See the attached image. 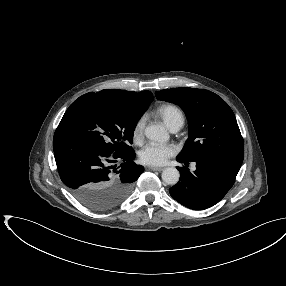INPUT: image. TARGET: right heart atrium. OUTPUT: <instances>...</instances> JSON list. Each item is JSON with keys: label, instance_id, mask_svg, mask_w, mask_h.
<instances>
[{"label": "right heart atrium", "instance_id": "right-heart-atrium-1", "mask_svg": "<svg viewBox=\"0 0 286 286\" xmlns=\"http://www.w3.org/2000/svg\"><path fill=\"white\" fill-rule=\"evenodd\" d=\"M146 117L143 115L141 116L135 123L133 130H132V137L135 143L139 144L143 140V132L145 126Z\"/></svg>", "mask_w": 286, "mask_h": 286}]
</instances>
